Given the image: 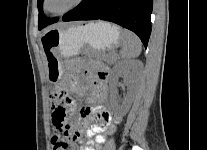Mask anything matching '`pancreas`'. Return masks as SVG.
<instances>
[{
    "label": "pancreas",
    "instance_id": "obj_1",
    "mask_svg": "<svg viewBox=\"0 0 207 150\" xmlns=\"http://www.w3.org/2000/svg\"><path fill=\"white\" fill-rule=\"evenodd\" d=\"M98 58L107 62L108 64H114L117 57L116 54L113 51H111L108 53L100 54Z\"/></svg>",
    "mask_w": 207,
    "mask_h": 150
}]
</instances>
